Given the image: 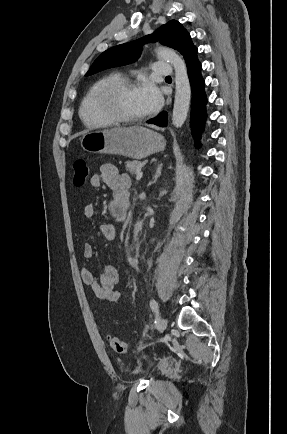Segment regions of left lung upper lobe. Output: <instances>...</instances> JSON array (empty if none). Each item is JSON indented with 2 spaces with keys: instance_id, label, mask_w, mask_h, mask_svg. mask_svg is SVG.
<instances>
[{
  "instance_id": "left-lung-upper-lobe-1",
  "label": "left lung upper lobe",
  "mask_w": 287,
  "mask_h": 434,
  "mask_svg": "<svg viewBox=\"0 0 287 434\" xmlns=\"http://www.w3.org/2000/svg\"><path fill=\"white\" fill-rule=\"evenodd\" d=\"M157 41L179 51L185 61L198 52L196 46L191 41L190 34L184 29L182 24L176 20H171L150 35L104 51L94 61L85 76L95 74L107 68L130 64L138 59L142 50L141 46L145 42Z\"/></svg>"
}]
</instances>
